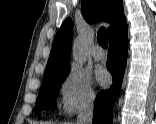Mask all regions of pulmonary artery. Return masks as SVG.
Instances as JSON below:
<instances>
[{
    "label": "pulmonary artery",
    "mask_w": 156,
    "mask_h": 124,
    "mask_svg": "<svg viewBox=\"0 0 156 124\" xmlns=\"http://www.w3.org/2000/svg\"><path fill=\"white\" fill-rule=\"evenodd\" d=\"M91 54L96 60H100L104 57V51L99 46H95L92 49Z\"/></svg>",
    "instance_id": "obj_1"
}]
</instances>
